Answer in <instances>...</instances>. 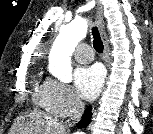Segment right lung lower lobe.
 I'll list each match as a JSON object with an SVG mask.
<instances>
[{
    "label": "right lung lower lobe",
    "mask_w": 153,
    "mask_h": 134,
    "mask_svg": "<svg viewBox=\"0 0 153 134\" xmlns=\"http://www.w3.org/2000/svg\"><path fill=\"white\" fill-rule=\"evenodd\" d=\"M90 118H91V108H87L81 121L78 124V128L86 127L90 122Z\"/></svg>",
    "instance_id": "1"
}]
</instances>
